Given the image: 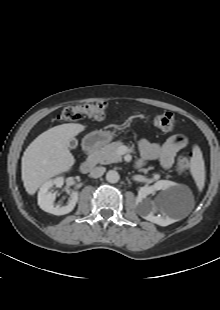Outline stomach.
Instances as JSON below:
<instances>
[{"mask_svg": "<svg viewBox=\"0 0 220 310\" xmlns=\"http://www.w3.org/2000/svg\"><path fill=\"white\" fill-rule=\"evenodd\" d=\"M113 139V133L109 131H93L84 138V143L92 147H100Z\"/></svg>", "mask_w": 220, "mask_h": 310, "instance_id": "0dacf381", "label": "stomach"}]
</instances>
